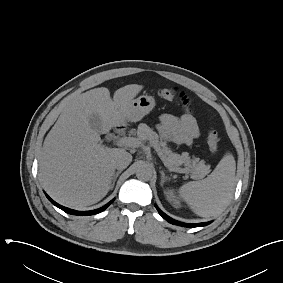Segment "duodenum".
I'll return each instance as SVG.
<instances>
[{
	"instance_id": "1",
	"label": "duodenum",
	"mask_w": 283,
	"mask_h": 283,
	"mask_svg": "<svg viewBox=\"0 0 283 283\" xmlns=\"http://www.w3.org/2000/svg\"><path fill=\"white\" fill-rule=\"evenodd\" d=\"M116 130H117V132H121V131H122V128H121V127H118Z\"/></svg>"
}]
</instances>
